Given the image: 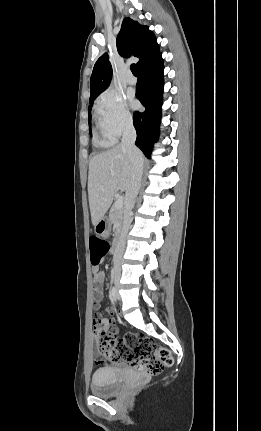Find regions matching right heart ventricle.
Returning <instances> with one entry per match:
<instances>
[{
  "instance_id": "e07e8e85",
  "label": "right heart ventricle",
  "mask_w": 261,
  "mask_h": 431,
  "mask_svg": "<svg viewBox=\"0 0 261 431\" xmlns=\"http://www.w3.org/2000/svg\"><path fill=\"white\" fill-rule=\"evenodd\" d=\"M99 122V128L95 134V143L97 144V146L99 147H103V148H107L110 147L114 144L115 142V138L113 136H111L110 134H108L103 127L100 124V121L98 119Z\"/></svg>"
}]
</instances>
